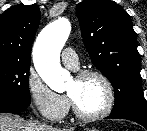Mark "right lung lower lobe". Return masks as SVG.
I'll list each match as a JSON object with an SVG mask.
<instances>
[{
    "label": "right lung lower lobe",
    "mask_w": 147,
    "mask_h": 131,
    "mask_svg": "<svg viewBox=\"0 0 147 131\" xmlns=\"http://www.w3.org/2000/svg\"><path fill=\"white\" fill-rule=\"evenodd\" d=\"M27 107L26 105L0 100V113H19L25 111Z\"/></svg>",
    "instance_id": "98d812e1"
}]
</instances>
